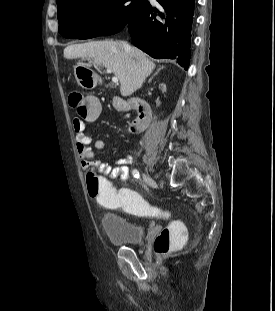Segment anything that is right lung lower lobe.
Segmentation results:
<instances>
[{
  "label": "right lung lower lobe",
  "mask_w": 275,
  "mask_h": 311,
  "mask_svg": "<svg viewBox=\"0 0 275 311\" xmlns=\"http://www.w3.org/2000/svg\"><path fill=\"white\" fill-rule=\"evenodd\" d=\"M157 1L164 13L149 3L129 19L126 29L136 47L156 59H174L187 70L195 0ZM88 31L78 39L95 37Z\"/></svg>",
  "instance_id": "1"
}]
</instances>
